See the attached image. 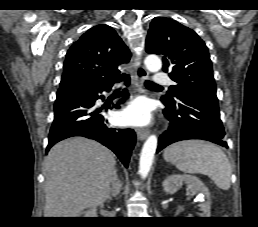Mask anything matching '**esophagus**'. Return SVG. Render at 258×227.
<instances>
[{
  "label": "esophagus",
  "instance_id": "1",
  "mask_svg": "<svg viewBox=\"0 0 258 227\" xmlns=\"http://www.w3.org/2000/svg\"><path fill=\"white\" fill-rule=\"evenodd\" d=\"M134 70H135V80H136V85L140 91H144L143 88V82L145 79L148 78V72L147 70L141 65L140 61L138 58L134 59ZM138 138L140 140H144L148 137L149 135V130L148 129H140L137 132Z\"/></svg>",
  "mask_w": 258,
  "mask_h": 227
}]
</instances>
